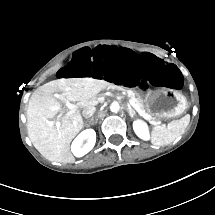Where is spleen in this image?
<instances>
[{"label":"spleen","instance_id":"3e777b00","mask_svg":"<svg viewBox=\"0 0 215 215\" xmlns=\"http://www.w3.org/2000/svg\"><path fill=\"white\" fill-rule=\"evenodd\" d=\"M189 118V115H186L180 120L170 122L167 127L155 126L151 132V143L157 146L172 143L181 134V130L184 129V122Z\"/></svg>","mask_w":215,"mask_h":215}]
</instances>
